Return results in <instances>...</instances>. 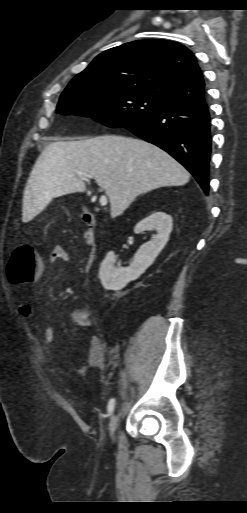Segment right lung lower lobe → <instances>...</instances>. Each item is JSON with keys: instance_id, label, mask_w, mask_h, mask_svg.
<instances>
[{"instance_id": "right-lung-lower-lobe-1", "label": "right lung lower lobe", "mask_w": 247, "mask_h": 513, "mask_svg": "<svg viewBox=\"0 0 247 513\" xmlns=\"http://www.w3.org/2000/svg\"><path fill=\"white\" fill-rule=\"evenodd\" d=\"M126 129L168 152L190 171L208 194L211 135L204 98L168 105Z\"/></svg>"}]
</instances>
